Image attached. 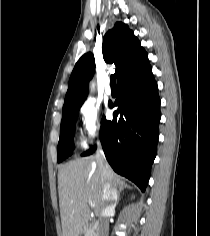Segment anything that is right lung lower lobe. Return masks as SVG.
<instances>
[{
	"label": "right lung lower lobe",
	"mask_w": 210,
	"mask_h": 236,
	"mask_svg": "<svg viewBox=\"0 0 210 236\" xmlns=\"http://www.w3.org/2000/svg\"><path fill=\"white\" fill-rule=\"evenodd\" d=\"M113 120L103 117L100 140L107 161L142 191L150 177L159 137L160 98L150 63L117 83ZM96 146L82 156L92 154Z\"/></svg>",
	"instance_id": "obj_1"
}]
</instances>
